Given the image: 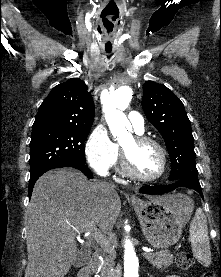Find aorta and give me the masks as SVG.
<instances>
[{"instance_id": "762f6f07", "label": "aorta", "mask_w": 221, "mask_h": 277, "mask_svg": "<svg viewBox=\"0 0 221 277\" xmlns=\"http://www.w3.org/2000/svg\"><path fill=\"white\" fill-rule=\"evenodd\" d=\"M132 99V89L122 86L112 93L103 106L109 129L117 140L130 136L131 124L123 113ZM124 248V277H139V257L132 240L126 236Z\"/></svg>"}]
</instances>
